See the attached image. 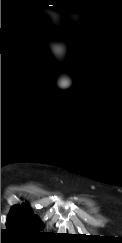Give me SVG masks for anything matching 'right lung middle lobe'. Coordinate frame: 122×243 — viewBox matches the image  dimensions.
Masks as SVG:
<instances>
[{
    "label": "right lung middle lobe",
    "mask_w": 122,
    "mask_h": 243,
    "mask_svg": "<svg viewBox=\"0 0 122 243\" xmlns=\"http://www.w3.org/2000/svg\"><path fill=\"white\" fill-rule=\"evenodd\" d=\"M7 231L14 235L36 236L43 224L28 206H13L7 218Z\"/></svg>",
    "instance_id": "dd1d6c3e"
}]
</instances>
